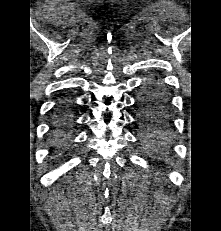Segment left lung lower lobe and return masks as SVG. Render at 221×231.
<instances>
[{"instance_id": "left-lung-lower-lobe-1", "label": "left lung lower lobe", "mask_w": 221, "mask_h": 231, "mask_svg": "<svg viewBox=\"0 0 221 231\" xmlns=\"http://www.w3.org/2000/svg\"><path fill=\"white\" fill-rule=\"evenodd\" d=\"M158 87H160V84L155 81V80H149L148 83L146 84V89H149V90H156L158 89ZM162 87V86H161ZM144 91V92H145ZM162 91L165 93L163 87H162ZM166 97L168 98L167 94L165 93ZM151 104H156L157 100L155 99H152L151 100ZM148 144L155 150L157 151H164L166 150V148L168 147V143L167 141H165L161 135H156V136H150L148 139H146Z\"/></svg>"}]
</instances>
